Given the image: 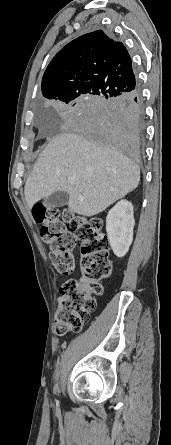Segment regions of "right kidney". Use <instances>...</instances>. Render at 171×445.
I'll return each instance as SVG.
<instances>
[{
  "mask_svg": "<svg viewBox=\"0 0 171 445\" xmlns=\"http://www.w3.org/2000/svg\"><path fill=\"white\" fill-rule=\"evenodd\" d=\"M135 220L133 205L127 200L119 201L107 214L106 231L110 246L117 257H123L133 241Z\"/></svg>",
  "mask_w": 171,
  "mask_h": 445,
  "instance_id": "obj_1",
  "label": "right kidney"
}]
</instances>
